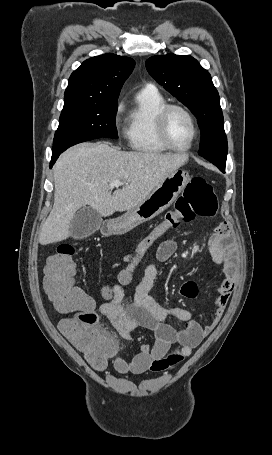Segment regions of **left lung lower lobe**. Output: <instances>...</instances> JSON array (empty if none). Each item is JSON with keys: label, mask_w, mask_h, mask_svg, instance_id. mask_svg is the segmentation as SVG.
Masks as SVG:
<instances>
[{"label": "left lung lower lobe", "mask_w": 272, "mask_h": 455, "mask_svg": "<svg viewBox=\"0 0 272 455\" xmlns=\"http://www.w3.org/2000/svg\"><path fill=\"white\" fill-rule=\"evenodd\" d=\"M227 153H221L205 157L208 161L216 165L222 172L225 171Z\"/></svg>", "instance_id": "0a47b994"}]
</instances>
